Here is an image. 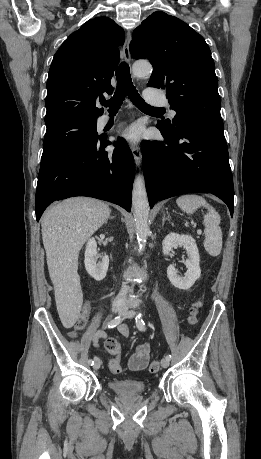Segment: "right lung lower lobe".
Returning a JSON list of instances; mask_svg holds the SVG:
<instances>
[{
    "label": "right lung lower lobe",
    "instance_id": "right-lung-lower-lobe-1",
    "mask_svg": "<svg viewBox=\"0 0 261 459\" xmlns=\"http://www.w3.org/2000/svg\"><path fill=\"white\" fill-rule=\"evenodd\" d=\"M100 137L88 146L68 150L40 165L35 211L39 221L44 210L55 200L89 196L106 200L131 210L134 160L122 138L113 153Z\"/></svg>",
    "mask_w": 261,
    "mask_h": 459
}]
</instances>
